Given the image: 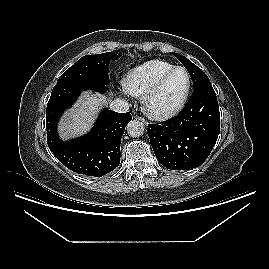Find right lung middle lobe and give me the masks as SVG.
Instances as JSON below:
<instances>
[{
    "label": "right lung middle lobe",
    "instance_id": "dd1d6c3e",
    "mask_svg": "<svg viewBox=\"0 0 269 269\" xmlns=\"http://www.w3.org/2000/svg\"><path fill=\"white\" fill-rule=\"evenodd\" d=\"M118 58L119 56L113 52L83 56L61 75L57 83L76 80L108 85V65L112 59L116 60Z\"/></svg>",
    "mask_w": 269,
    "mask_h": 269
}]
</instances>
